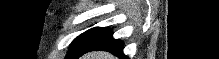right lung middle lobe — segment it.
<instances>
[{
    "label": "right lung middle lobe",
    "instance_id": "1",
    "mask_svg": "<svg viewBox=\"0 0 219 59\" xmlns=\"http://www.w3.org/2000/svg\"><path fill=\"white\" fill-rule=\"evenodd\" d=\"M111 32L108 28H92L84 32L71 43L66 59H77Z\"/></svg>",
    "mask_w": 219,
    "mask_h": 59
}]
</instances>
